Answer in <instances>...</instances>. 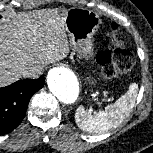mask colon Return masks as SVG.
I'll return each mask as SVG.
<instances>
[{"label":"colon","instance_id":"5ec220e1","mask_svg":"<svg viewBox=\"0 0 153 153\" xmlns=\"http://www.w3.org/2000/svg\"><path fill=\"white\" fill-rule=\"evenodd\" d=\"M117 27L112 25L109 36L116 41ZM97 61L102 66V74L105 78H113L119 74L128 72L133 66V56L120 42L110 50L102 51L97 55Z\"/></svg>","mask_w":153,"mask_h":153}]
</instances>
